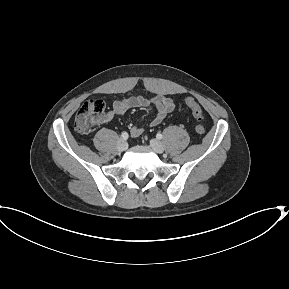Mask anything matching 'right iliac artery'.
Instances as JSON below:
<instances>
[{"label": "right iliac artery", "instance_id": "1", "mask_svg": "<svg viewBox=\"0 0 289 289\" xmlns=\"http://www.w3.org/2000/svg\"><path fill=\"white\" fill-rule=\"evenodd\" d=\"M128 133L127 132H123L122 134H121V137L124 139V140H126L127 138H128Z\"/></svg>", "mask_w": 289, "mask_h": 289}]
</instances>
